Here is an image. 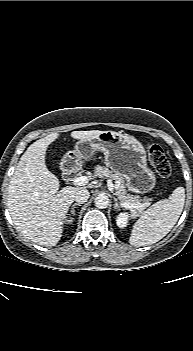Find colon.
I'll list each match as a JSON object with an SVG mask.
<instances>
[{
	"label": "colon",
	"instance_id": "1",
	"mask_svg": "<svg viewBox=\"0 0 193 351\" xmlns=\"http://www.w3.org/2000/svg\"><path fill=\"white\" fill-rule=\"evenodd\" d=\"M147 151L150 164L162 179H167L171 174V165L163 149L158 144L152 143L147 145Z\"/></svg>",
	"mask_w": 193,
	"mask_h": 351
}]
</instances>
